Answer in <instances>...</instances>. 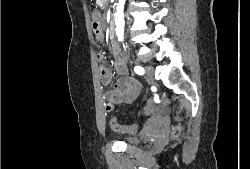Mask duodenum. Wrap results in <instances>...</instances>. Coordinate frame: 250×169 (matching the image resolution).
I'll return each mask as SVG.
<instances>
[{"label":"duodenum","instance_id":"1","mask_svg":"<svg viewBox=\"0 0 250 169\" xmlns=\"http://www.w3.org/2000/svg\"><path fill=\"white\" fill-rule=\"evenodd\" d=\"M109 37H110V40L115 43V40H116V32H115V28L114 26H110V31H109Z\"/></svg>","mask_w":250,"mask_h":169}]
</instances>
